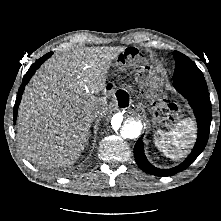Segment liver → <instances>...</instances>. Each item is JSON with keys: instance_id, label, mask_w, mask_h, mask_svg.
<instances>
[{"instance_id": "liver-1", "label": "liver", "mask_w": 221, "mask_h": 221, "mask_svg": "<svg viewBox=\"0 0 221 221\" xmlns=\"http://www.w3.org/2000/svg\"><path fill=\"white\" fill-rule=\"evenodd\" d=\"M124 47H86L50 58L25 89L17 136L24 154L42 165H73L95 119L108 111L105 96L112 61Z\"/></svg>"}]
</instances>
